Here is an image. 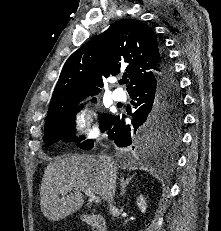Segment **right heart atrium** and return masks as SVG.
I'll list each match as a JSON object with an SVG mask.
<instances>
[{
    "mask_svg": "<svg viewBox=\"0 0 221 231\" xmlns=\"http://www.w3.org/2000/svg\"><path fill=\"white\" fill-rule=\"evenodd\" d=\"M78 128L84 132L89 138H97L100 131L97 124L93 120V116L86 109L80 110L76 116Z\"/></svg>",
    "mask_w": 221,
    "mask_h": 231,
    "instance_id": "obj_1",
    "label": "right heart atrium"
}]
</instances>
